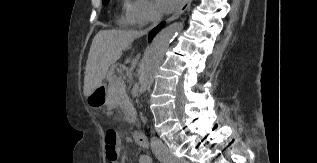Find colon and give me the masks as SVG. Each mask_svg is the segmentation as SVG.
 Listing matches in <instances>:
<instances>
[{
	"label": "colon",
	"mask_w": 317,
	"mask_h": 163,
	"mask_svg": "<svg viewBox=\"0 0 317 163\" xmlns=\"http://www.w3.org/2000/svg\"><path fill=\"white\" fill-rule=\"evenodd\" d=\"M105 154L108 163H114L118 159V133L114 129H107L104 136Z\"/></svg>",
	"instance_id": "5ec220e1"
}]
</instances>
